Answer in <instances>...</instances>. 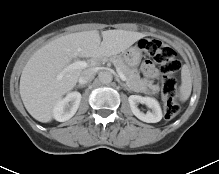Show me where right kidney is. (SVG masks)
I'll use <instances>...</instances> for the list:
<instances>
[{"instance_id":"right-kidney-1","label":"right kidney","mask_w":219,"mask_h":174,"mask_svg":"<svg viewBox=\"0 0 219 174\" xmlns=\"http://www.w3.org/2000/svg\"><path fill=\"white\" fill-rule=\"evenodd\" d=\"M79 92H71L65 98L59 100L53 108V118L59 122H64L72 118L79 108L81 102Z\"/></svg>"}]
</instances>
